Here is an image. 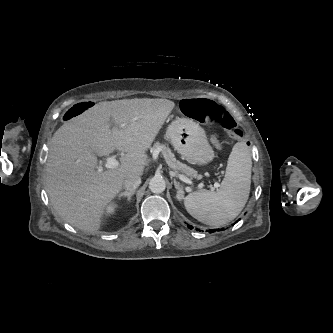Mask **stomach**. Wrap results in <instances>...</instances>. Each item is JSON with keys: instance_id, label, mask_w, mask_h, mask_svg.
<instances>
[{"instance_id": "1", "label": "stomach", "mask_w": 333, "mask_h": 333, "mask_svg": "<svg viewBox=\"0 0 333 333\" xmlns=\"http://www.w3.org/2000/svg\"><path fill=\"white\" fill-rule=\"evenodd\" d=\"M204 129L193 119L177 117L167 128V137L185 160L199 165L210 163L215 153Z\"/></svg>"}]
</instances>
